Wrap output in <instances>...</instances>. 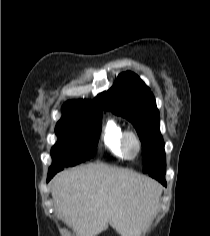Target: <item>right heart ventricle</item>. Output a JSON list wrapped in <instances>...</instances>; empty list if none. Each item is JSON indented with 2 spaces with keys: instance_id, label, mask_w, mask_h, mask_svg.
Returning <instances> with one entry per match:
<instances>
[{
  "instance_id": "e07e8e85",
  "label": "right heart ventricle",
  "mask_w": 210,
  "mask_h": 236,
  "mask_svg": "<svg viewBox=\"0 0 210 236\" xmlns=\"http://www.w3.org/2000/svg\"><path fill=\"white\" fill-rule=\"evenodd\" d=\"M124 131L123 125L115 119H108L102 131L104 147L112 156L120 159L125 158L121 149V139Z\"/></svg>"
}]
</instances>
